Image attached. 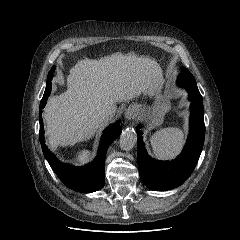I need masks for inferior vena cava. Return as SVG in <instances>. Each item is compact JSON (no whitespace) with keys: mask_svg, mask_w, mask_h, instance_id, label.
Listing matches in <instances>:
<instances>
[{"mask_svg":"<svg viewBox=\"0 0 240 240\" xmlns=\"http://www.w3.org/2000/svg\"><path fill=\"white\" fill-rule=\"evenodd\" d=\"M112 115H113L112 112H110L109 110L105 108H99L96 111L97 122L101 124L106 123L112 118Z\"/></svg>","mask_w":240,"mask_h":240,"instance_id":"obj_1","label":"inferior vena cava"}]
</instances>
